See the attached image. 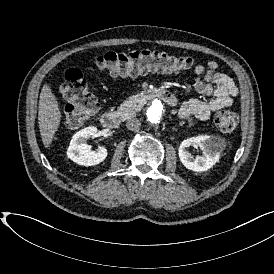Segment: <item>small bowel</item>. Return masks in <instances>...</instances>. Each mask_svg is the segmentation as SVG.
<instances>
[{
	"label": "small bowel",
	"instance_id": "c3829d8e",
	"mask_svg": "<svg viewBox=\"0 0 274 274\" xmlns=\"http://www.w3.org/2000/svg\"><path fill=\"white\" fill-rule=\"evenodd\" d=\"M193 71L196 92L205 96L212 95L213 98L209 101L190 99L180 106L178 115L189 124L208 120L212 113L231 106L239 94L234 81L218 71L216 61H208L205 65L197 64Z\"/></svg>",
	"mask_w": 274,
	"mask_h": 274
}]
</instances>
